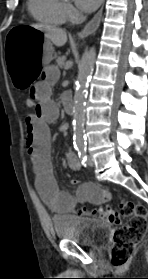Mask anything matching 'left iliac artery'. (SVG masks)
Segmentation results:
<instances>
[{
	"instance_id": "obj_1",
	"label": "left iliac artery",
	"mask_w": 148,
	"mask_h": 279,
	"mask_svg": "<svg viewBox=\"0 0 148 279\" xmlns=\"http://www.w3.org/2000/svg\"><path fill=\"white\" fill-rule=\"evenodd\" d=\"M77 150H78V155H79V158L81 159L82 165L86 167V160H87L86 147H81Z\"/></svg>"
}]
</instances>
